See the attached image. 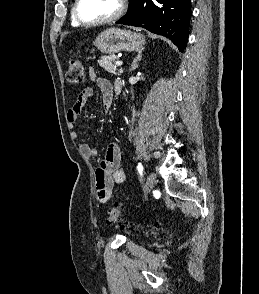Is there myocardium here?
Masks as SVG:
<instances>
[{
  "label": "myocardium",
  "mask_w": 259,
  "mask_h": 294,
  "mask_svg": "<svg viewBox=\"0 0 259 294\" xmlns=\"http://www.w3.org/2000/svg\"><path fill=\"white\" fill-rule=\"evenodd\" d=\"M81 0H76L72 9V15L75 19V21L84 27H96V26H101L105 25L111 22H114L118 20L119 18L122 17V15L125 13L126 8H127V0H119V6L117 11L112 14L111 16L98 20V21H93V22H88L85 21L81 18L80 13H79V5H80Z\"/></svg>",
  "instance_id": "obj_1"
}]
</instances>
